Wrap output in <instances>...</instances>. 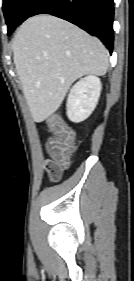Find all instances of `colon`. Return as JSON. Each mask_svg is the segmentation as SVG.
Masks as SVG:
<instances>
[{
  "instance_id": "5ec220e1",
  "label": "colon",
  "mask_w": 134,
  "mask_h": 281,
  "mask_svg": "<svg viewBox=\"0 0 134 281\" xmlns=\"http://www.w3.org/2000/svg\"><path fill=\"white\" fill-rule=\"evenodd\" d=\"M48 124L52 136L47 142V150L52 159L65 170L70 166L75 149V134L57 115L50 117Z\"/></svg>"
}]
</instances>
